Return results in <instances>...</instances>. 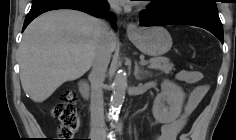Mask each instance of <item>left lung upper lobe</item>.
<instances>
[{
	"mask_svg": "<svg viewBox=\"0 0 236 140\" xmlns=\"http://www.w3.org/2000/svg\"><path fill=\"white\" fill-rule=\"evenodd\" d=\"M154 3V5H161L164 9L167 10L179 7H193L211 11H218L216 0H155Z\"/></svg>",
	"mask_w": 236,
	"mask_h": 140,
	"instance_id": "left-lung-upper-lobe-1",
	"label": "left lung upper lobe"
}]
</instances>
